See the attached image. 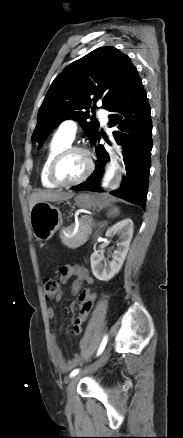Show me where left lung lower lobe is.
Returning a JSON list of instances; mask_svg holds the SVG:
<instances>
[{"label":"left lung lower lobe","mask_w":183,"mask_h":438,"mask_svg":"<svg viewBox=\"0 0 183 438\" xmlns=\"http://www.w3.org/2000/svg\"><path fill=\"white\" fill-rule=\"evenodd\" d=\"M109 111L118 112L113 115L116 122L110 116L109 125L112 127L118 124V128L122 131L117 132L115 138L124 148L126 165V176L121 188L112 194L145 209L151 166L152 122L147 95L139 76ZM100 137L101 134H98L93 143H96ZM96 151L98 161L94 173L85 182L72 187V190L99 191L98 184L108 154L101 145L96 147Z\"/></svg>","instance_id":"obj_1"}]
</instances>
